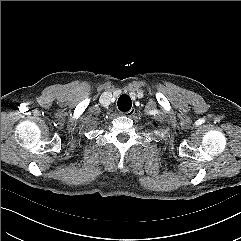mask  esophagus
Segmentation results:
<instances>
[{
    "instance_id": "obj_1",
    "label": "esophagus",
    "mask_w": 241,
    "mask_h": 241,
    "mask_svg": "<svg viewBox=\"0 0 241 241\" xmlns=\"http://www.w3.org/2000/svg\"><path fill=\"white\" fill-rule=\"evenodd\" d=\"M122 115L128 116V117H132L135 114V109L132 108L131 110L121 113Z\"/></svg>"
}]
</instances>
